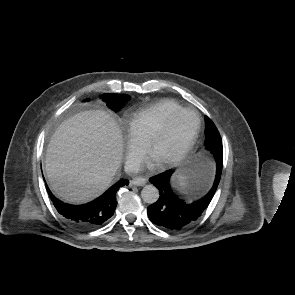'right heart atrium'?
<instances>
[{
	"mask_svg": "<svg viewBox=\"0 0 295 295\" xmlns=\"http://www.w3.org/2000/svg\"><path fill=\"white\" fill-rule=\"evenodd\" d=\"M145 146L130 134L126 137V165L130 170H137L144 158Z\"/></svg>",
	"mask_w": 295,
	"mask_h": 295,
	"instance_id": "1",
	"label": "right heart atrium"
}]
</instances>
